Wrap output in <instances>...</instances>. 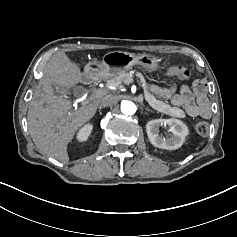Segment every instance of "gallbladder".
<instances>
[{"label":"gallbladder","instance_id":"obj_1","mask_svg":"<svg viewBox=\"0 0 237 237\" xmlns=\"http://www.w3.org/2000/svg\"><path fill=\"white\" fill-rule=\"evenodd\" d=\"M58 96H59V98H61V99H66V98H68V96H69V91H68V89H66V88H61V89H59V91H58Z\"/></svg>","mask_w":237,"mask_h":237}]
</instances>
